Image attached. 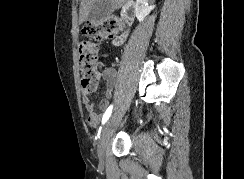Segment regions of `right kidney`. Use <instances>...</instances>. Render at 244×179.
Listing matches in <instances>:
<instances>
[{
	"mask_svg": "<svg viewBox=\"0 0 244 179\" xmlns=\"http://www.w3.org/2000/svg\"><path fill=\"white\" fill-rule=\"evenodd\" d=\"M155 6H148L147 0H136V18L138 22H143L144 18L154 10Z\"/></svg>",
	"mask_w": 244,
	"mask_h": 179,
	"instance_id": "right-kidney-1",
	"label": "right kidney"
}]
</instances>
